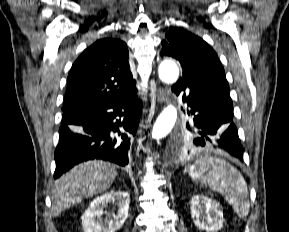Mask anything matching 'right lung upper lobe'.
Listing matches in <instances>:
<instances>
[{"label":"right lung upper lobe","mask_w":289,"mask_h":232,"mask_svg":"<svg viewBox=\"0 0 289 232\" xmlns=\"http://www.w3.org/2000/svg\"><path fill=\"white\" fill-rule=\"evenodd\" d=\"M125 42L104 38L87 48L75 61L67 80L64 113L114 101L133 92Z\"/></svg>","instance_id":"right-lung-upper-lobe-1"}]
</instances>
